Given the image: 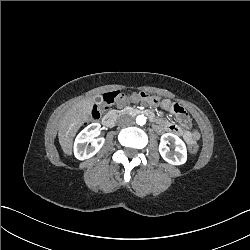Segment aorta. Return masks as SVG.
<instances>
[{
	"mask_svg": "<svg viewBox=\"0 0 250 250\" xmlns=\"http://www.w3.org/2000/svg\"><path fill=\"white\" fill-rule=\"evenodd\" d=\"M146 123V117L144 115H138L136 117V124L144 125Z\"/></svg>",
	"mask_w": 250,
	"mask_h": 250,
	"instance_id": "obj_1",
	"label": "aorta"
}]
</instances>
